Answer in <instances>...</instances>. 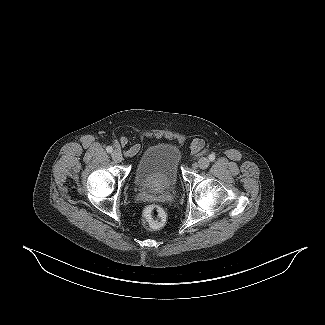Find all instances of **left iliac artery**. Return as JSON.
Returning <instances> with one entry per match:
<instances>
[{
  "label": "left iliac artery",
  "mask_w": 325,
  "mask_h": 325,
  "mask_svg": "<svg viewBox=\"0 0 325 325\" xmlns=\"http://www.w3.org/2000/svg\"><path fill=\"white\" fill-rule=\"evenodd\" d=\"M209 160H210V161H214V160H215V154H213V153L210 154V155H209Z\"/></svg>",
  "instance_id": "44dca946"
}]
</instances>
